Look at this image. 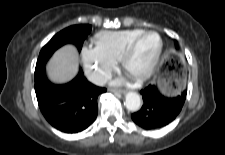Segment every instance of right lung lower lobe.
I'll return each mask as SVG.
<instances>
[{
	"instance_id": "1",
	"label": "right lung lower lobe",
	"mask_w": 225,
	"mask_h": 155,
	"mask_svg": "<svg viewBox=\"0 0 225 155\" xmlns=\"http://www.w3.org/2000/svg\"><path fill=\"white\" fill-rule=\"evenodd\" d=\"M105 88L97 87L84 77L82 69L69 83L53 84L45 77L44 66L35 70V92L46 120L65 133H77L97 117V98Z\"/></svg>"
}]
</instances>
